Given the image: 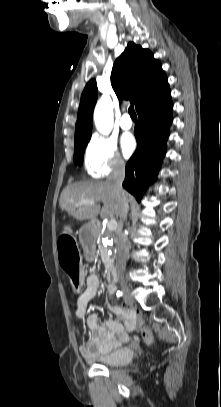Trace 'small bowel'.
<instances>
[{"mask_svg":"<svg viewBox=\"0 0 221 407\" xmlns=\"http://www.w3.org/2000/svg\"><path fill=\"white\" fill-rule=\"evenodd\" d=\"M100 288L99 276L90 274L86 278L85 291L80 295L76 303V316L79 319H86L87 326L91 331L90 341L79 347L80 353L86 358L109 353L121 344L131 341L130 333L135 331L142 322L138 311L108 304L109 312L120 321L108 320L105 326L100 325L97 313L88 315V304L99 293ZM116 290V285L109 283L106 287V294L111 296Z\"/></svg>","mask_w":221,"mask_h":407,"instance_id":"obj_1","label":"small bowel"}]
</instances>
